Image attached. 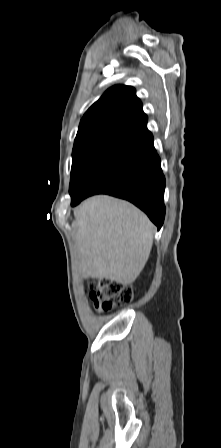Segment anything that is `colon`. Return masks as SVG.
Masks as SVG:
<instances>
[{
  "instance_id": "obj_1",
  "label": "colon",
  "mask_w": 221,
  "mask_h": 448,
  "mask_svg": "<svg viewBox=\"0 0 221 448\" xmlns=\"http://www.w3.org/2000/svg\"><path fill=\"white\" fill-rule=\"evenodd\" d=\"M89 295L97 308L109 310L117 305L131 302L133 291L128 285L103 279L90 284Z\"/></svg>"
}]
</instances>
